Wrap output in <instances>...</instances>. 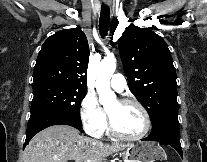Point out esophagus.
Returning a JSON list of instances; mask_svg holds the SVG:
<instances>
[{
	"label": "esophagus",
	"mask_w": 207,
	"mask_h": 162,
	"mask_svg": "<svg viewBox=\"0 0 207 162\" xmlns=\"http://www.w3.org/2000/svg\"><path fill=\"white\" fill-rule=\"evenodd\" d=\"M105 1V4L107 5V6H110L111 5V0H104Z\"/></svg>",
	"instance_id": "esophagus-1"
}]
</instances>
